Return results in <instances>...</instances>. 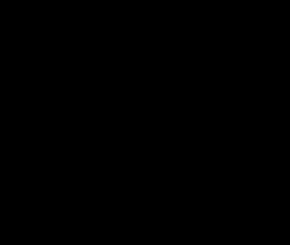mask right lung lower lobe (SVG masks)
<instances>
[{
  "label": "right lung lower lobe",
  "mask_w": 290,
  "mask_h": 245,
  "mask_svg": "<svg viewBox=\"0 0 290 245\" xmlns=\"http://www.w3.org/2000/svg\"><path fill=\"white\" fill-rule=\"evenodd\" d=\"M32 146L37 156L52 174L70 183H90L107 176L114 169L120 151V143H118L101 160L93 164L79 165L47 153L34 142H32Z\"/></svg>",
  "instance_id": "98d812e1"
}]
</instances>
